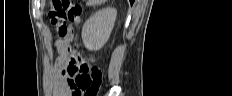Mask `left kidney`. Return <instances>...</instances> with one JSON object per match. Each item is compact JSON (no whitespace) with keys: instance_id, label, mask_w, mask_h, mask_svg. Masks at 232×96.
<instances>
[{"instance_id":"left-kidney-1","label":"left kidney","mask_w":232,"mask_h":96,"mask_svg":"<svg viewBox=\"0 0 232 96\" xmlns=\"http://www.w3.org/2000/svg\"><path fill=\"white\" fill-rule=\"evenodd\" d=\"M117 10L107 7L93 14L83 25L82 40L85 47L98 51L108 41L114 27Z\"/></svg>"}]
</instances>
